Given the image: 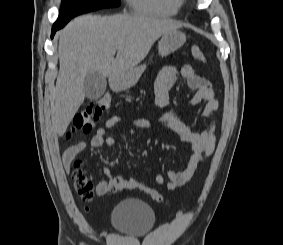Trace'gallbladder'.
Here are the masks:
<instances>
[{
  "instance_id": "1",
  "label": "gallbladder",
  "mask_w": 283,
  "mask_h": 245,
  "mask_svg": "<svg viewBox=\"0 0 283 245\" xmlns=\"http://www.w3.org/2000/svg\"><path fill=\"white\" fill-rule=\"evenodd\" d=\"M107 86L106 78L99 72L88 73L84 80V92L88 99L97 100L103 96Z\"/></svg>"
}]
</instances>
